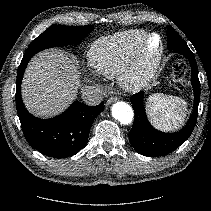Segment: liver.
I'll return each mask as SVG.
<instances>
[{
    "label": "liver",
    "mask_w": 211,
    "mask_h": 211,
    "mask_svg": "<svg viewBox=\"0 0 211 211\" xmlns=\"http://www.w3.org/2000/svg\"><path fill=\"white\" fill-rule=\"evenodd\" d=\"M80 76L68 56L57 49L33 57L22 81L23 102L30 113L48 118L61 114L77 97Z\"/></svg>",
    "instance_id": "6515ba94"
}]
</instances>
